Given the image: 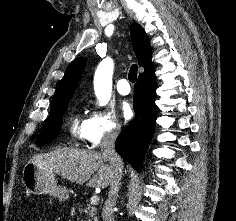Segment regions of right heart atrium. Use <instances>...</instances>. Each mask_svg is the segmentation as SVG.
I'll use <instances>...</instances> for the list:
<instances>
[{
    "label": "right heart atrium",
    "mask_w": 236,
    "mask_h": 221,
    "mask_svg": "<svg viewBox=\"0 0 236 221\" xmlns=\"http://www.w3.org/2000/svg\"><path fill=\"white\" fill-rule=\"evenodd\" d=\"M120 131L121 125L112 111L95 107L85 121L83 140L87 146L96 148L115 139Z\"/></svg>",
    "instance_id": "right-heart-atrium-1"
}]
</instances>
